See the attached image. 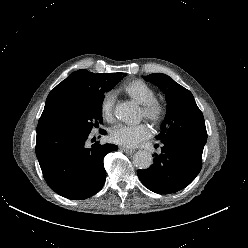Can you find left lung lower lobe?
I'll return each instance as SVG.
<instances>
[{
	"instance_id": "1",
	"label": "left lung lower lobe",
	"mask_w": 248,
	"mask_h": 248,
	"mask_svg": "<svg viewBox=\"0 0 248 248\" xmlns=\"http://www.w3.org/2000/svg\"><path fill=\"white\" fill-rule=\"evenodd\" d=\"M161 154H155L153 164L138 170V177L149 190L170 194L188 186L202 167V152L179 141L162 142Z\"/></svg>"
}]
</instances>
